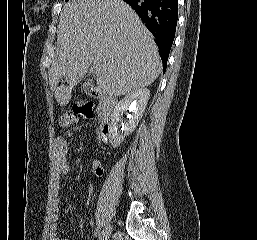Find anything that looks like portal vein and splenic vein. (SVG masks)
Segmentation results:
<instances>
[{
  "label": "portal vein and splenic vein",
  "mask_w": 257,
  "mask_h": 240,
  "mask_svg": "<svg viewBox=\"0 0 257 240\" xmlns=\"http://www.w3.org/2000/svg\"><path fill=\"white\" fill-rule=\"evenodd\" d=\"M93 69L97 72V73H99L100 72V65H99V63H93Z\"/></svg>",
  "instance_id": "portal-vein-and-splenic-vein-1"
}]
</instances>
